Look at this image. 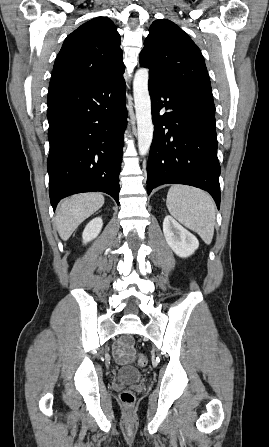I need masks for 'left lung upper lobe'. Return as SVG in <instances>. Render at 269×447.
<instances>
[{
	"label": "left lung upper lobe",
	"mask_w": 269,
	"mask_h": 447,
	"mask_svg": "<svg viewBox=\"0 0 269 447\" xmlns=\"http://www.w3.org/2000/svg\"><path fill=\"white\" fill-rule=\"evenodd\" d=\"M149 78L176 88L215 114L211 84L201 51L175 23L156 20L139 55Z\"/></svg>",
	"instance_id": "left-lung-upper-lobe-1"
}]
</instances>
